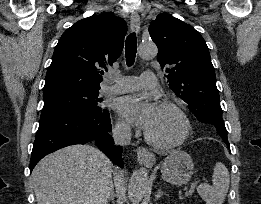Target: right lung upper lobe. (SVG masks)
I'll list each match as a JSON object with an SVG mask.
<instances>
[{"instance_id": "cb5924a9", "label": "right lung upper lobe", "mask_w": 261, "mask_h": 204, "mask_svg": "<svg viewBox=\"0 0 261 204\" xmlns=\"http://www.w3.org/2000/svg\"><path fill=\"white\" fill-rule=\"evenodd\" d=\"M126 22L111 13L82 19L61 36L48 68L43 94L99 90L104 69L122 53Z\"/></svg>"}]
</instances>
